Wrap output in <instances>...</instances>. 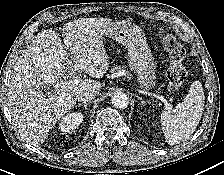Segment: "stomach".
<instances>
[{"mask_svg":"<svg viewBox=\"0 0 224 175\" xmlns=\"http://www.w3.org/2000/svg\"><path fill=\"white\" fill-rule=\"evenodd\" d=\"M105 34L128 48L130 69L137 75L139 87L148 90L155 86L156 63L141 29L126 21L111 23Z\"/></svg>","mask_w":224,"mask_h":175,"instance_id":"stomach-1","label":"stomach"}]
</instances>
